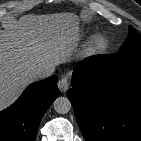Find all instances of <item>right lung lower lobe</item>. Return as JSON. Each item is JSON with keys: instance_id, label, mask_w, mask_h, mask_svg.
<instances>
[{"instance_id": "98d812e1", "label": "right lung lower lobe", "mask_w": 141, "mask_h": 141, "mask_svg": "<svg viewBox=\"0 0 141 141\" xmlns=\"http://www.w3.org/2000/svg\"><path fill=\"white\" fill-rule=\"evenodd\" d=\"M56 83L53 75L29 85L13 105L0 112V141H35L43 115L60 95Z\"/></svg>"}]
</instances>
